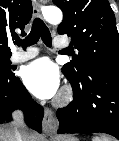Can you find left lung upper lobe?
<instances>
[{
    "mask_svg": "<svg viewBox=\"0 0 119 141\" xmlns=\"http://www.w3.org/2000/svg\"><path fill=\"white\" fill-rule=\"evenodd\" d=\"M64 14L59 34L71 37L78 50L62 67L64 75L79 80L90 72L119 71V38L108 0H53Z\"/></svg>",
    "mask_w": 119,
    "mask_h": 141,
    "instance_id": "5c2ea615",
    "label": "left lung upper lobe"
}]
</instances>
